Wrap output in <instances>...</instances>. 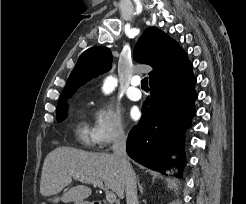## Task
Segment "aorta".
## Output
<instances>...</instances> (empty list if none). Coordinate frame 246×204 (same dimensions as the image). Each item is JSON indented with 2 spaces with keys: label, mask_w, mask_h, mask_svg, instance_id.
<instances>
[{
  "label": "aorta",
  "mask_w": 246,
  "mask_h": 204,
  "mask_svg": "<svg viewBox=\"0 0 246 204\" xmlns=\"http://www.w3.org/2000/svg\"><path fill=\"white\" fill-rule=\"evenodd\" d=\"M116 84L117 81L114 77L112 76L107 77L106 80L104 81L103 91L107 94L110 93L114 89Z\"/></svg>",
  "instance_id": "obj_1"
}]
</instances>
